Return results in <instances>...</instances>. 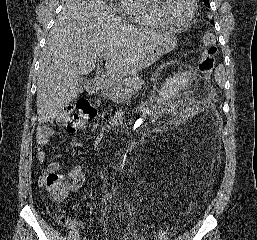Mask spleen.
Returning <instances> with one entry per match:
<instances>
[{"mask_svg":"<svg viewBox=\"0 0 257 240\" xmlns=\"http://www.w3.org/2000/svg\"><path fill=\"white\" fill-rule=\"evenodd\" d=\"M223 74H224V68L222 65H219L218 69L216 70V80L219 83V85H222L223 83Z\"/></svg>","mask_w":257,"mask_h":240,"instance_id":"spleen-1","label":"spleen"}]
</instances>
